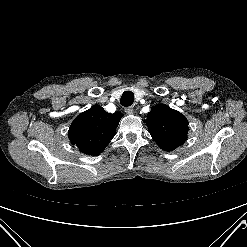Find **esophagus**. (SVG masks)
Here are the masks:
<instances>
[{"mask_svg": "<svg viewBox=\"0 0 247 247\" xmlns=\"http://www.w3.org/2000/svg\"><path fill=\"white\" fill-rule=\"evenodd\" d=\"M125 112H126V114H133L134 113V109H133V107H127V108H125Z\"/></svg>", "mask_w": 247, "mask_h": 247, "instance_id": "34e87169", "label": "esophagus"}]
</instances>
